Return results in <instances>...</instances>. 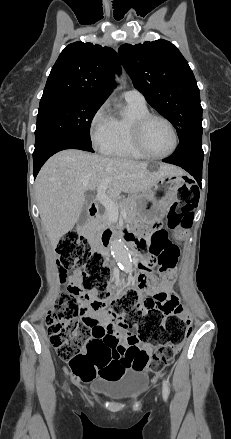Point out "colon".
<instances>
[{
	"label": "colon",
	"mask_w": 231,
	"mask_h": 439,
	"mask_svg": "<svg viewBox=\"0 0 231 439\" xmlns=\"http://www.w3.org/2000/svg\"><path fill=\"white\" fill-rule=\"evenodd\" d=\"M177 195L178 202L173 205L168 221L174 229L188 230L198 204V193L194 188L182 185ZM57 254L61 270L81 274V290L92 295V305L107 308L128 328L136 327L139 341L152 349L151 353L133 351L123 360L112 348L91 344V329L80 316L82 306L78 291L62 292L55 310L46 317L47 333L59 358L68 362L75 374L84 378L99 374L106 380L115 381L122 377L130 363L140 370L159 371L172 362L178 346L190 331V320L183 306L178 303L171 309L143 310L148 292L156 289L150 266H158L166 273L177 261L176 248L161 252L149 265L142 264L136 281L116 297H111L108 289L111 269L105 255L93 248L84 235H64Z\"/></svg>",
	"instance_id": "colon-1"
}]
</instances>
